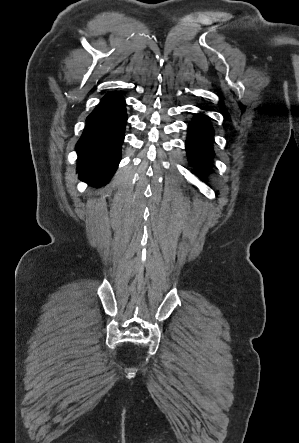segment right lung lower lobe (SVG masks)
<instances>
[{
    "instance_id": "1",
    "label": "right lung lower lobe",
    "mask_w": 299,
    "mask_h": 443,
    "mask_svg": "<svg viewBox=\"0 0 299 443\" xmlns=\"http://www.w3.org/2000/svg\"><path fill=\"white\" fill-rule=\"evenodd\" d=\"M126 122L124 98L107 94L87 117L76 146L80 179L99 187L111 178L120 162Z\"/></svg>"
}]
</instances>
